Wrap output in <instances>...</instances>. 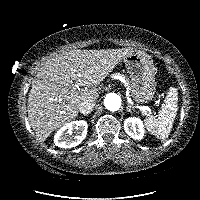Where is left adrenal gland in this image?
Segmentation results:
<instances>
[{
  "instance_id": "obj_1",
  "label": "left adrenal gland",
  "mask_w": 200,
  "mask_h": 200,
  "mask_svg": "<svg viewBox=\"0 0 200 200\" xmlns=\"http://www.w3.org/2000/svg\"><path fill=\"white\" fill-rule=\"evenodd\" d=\"M132 110L135 111V109L130 104L127 103L126 111L131 112Z\"/></svg>"
}]
</instances>
